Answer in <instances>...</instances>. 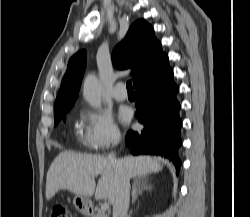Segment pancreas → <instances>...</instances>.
Instances as JSON below:
<instances>
[{"label": "pancreas", "instance_id": "1", "mask_svg": "<svg viewBox=\"0 0 250 217\" xmlns=\"http://www.w3.org/2000/svg\"><path fill=\"white\" fill-rule=\"evenodd\" d=\"M92 217H109V216L104 211L99 209L98 212L94 214Z\"/></svg>", "mask_w": 250, "mask_h": 217}]
</instances>
